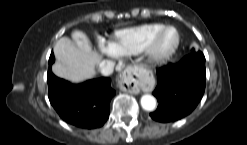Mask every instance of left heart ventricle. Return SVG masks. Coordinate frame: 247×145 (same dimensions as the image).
Segmentation results:
<instances>
[{
	"label": "left heart ventricle",
	"mask_w": 247,
	"mask_h": 145,
	"mask_svg": "<svg viewBox=\"0 0 247 145\" xmlns=\"http://www.w3.org/2000/svg\"><path fill=\"white\" fill-rule=\"evenodd\" d=\"M176 40V35L174 31L167 30L159 38L157 43V49L160 52H166L172 48Z\"/></svg>",
	"instance_id": "obj_1"
}]
</instances>
